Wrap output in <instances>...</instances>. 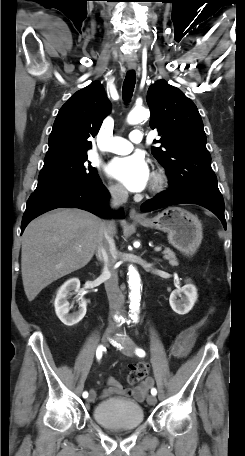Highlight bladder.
<instances>
[{
  "mask_svg": "<svg viewBox=\"0 0 245 456\" xmlns=\"http://www.w3.org/2000/svg\"><path fill=\"white\" fill-rule=\"evenodd\" d=\"M93 418L101 426L112 430H133L144 420L142 407L123 398H109L93 409Z\"/></svg>",
  "mask_w": 245,
  "mask_h": 456,
  "instance_id": "bladder-1",
  "label": "bladder"
}]
</instances>
